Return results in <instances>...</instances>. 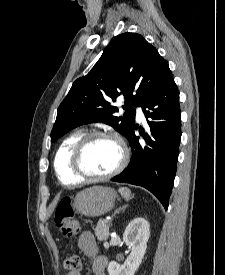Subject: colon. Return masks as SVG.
I'll use <instances>...</instances> for the list:
<instances>
[{
    "mask_svg": "<svg viewBox=\"0 0 225 275\" xmlns=\"http://www.w3.org/2000/svg\"><path fill=\"white\" fill-rule=\"evenodd\" d=\"M54 220L62 234L69 239L74 238L80 230L78 222L74 220L72 203L68 197H64L58 202L54 212ZM64 267L68 271H80V257L77 255L67 257L64 261Z\"/></svg>",
    "mask_w": 225,
    "mask_h": 275,
    "instance_id": "1",
    "label": "colon"
}]
</instances>
